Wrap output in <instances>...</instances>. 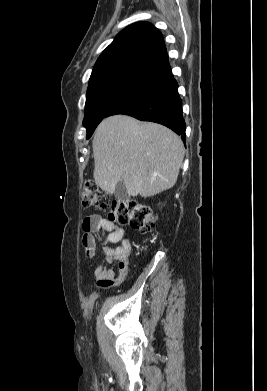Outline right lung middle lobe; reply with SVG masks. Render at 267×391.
<instances>
[{"mask_svg":"<svg viewBox=\"0 0 267 391\" xmlns=\"http://www.w3.org/2000/svg\"><path fill=\"white\" fill-rule=\"evenodd\" d=\"M151 77L136 73H113L89 81L83 120L87 139L116 105L146 84Z\"/></svg>","mask_w":267,"mask_h":391,"instance_id":"right-lung-middle-lobe-1","label":"right lung middle lobe"}]
</instances>
